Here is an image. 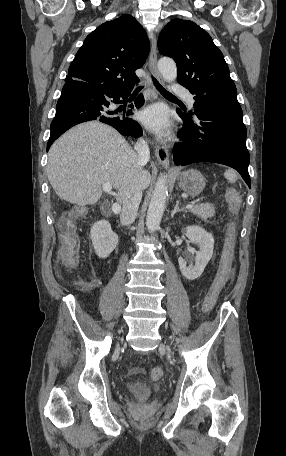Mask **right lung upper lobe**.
<instances>
[{"instance_id": "obj_1", "label": "right lung upper lobe", "mask_w": 286, "mask_h": 456, "mask_svg": "<svg viewBox=\"0 0 286 456\" xmlns=\"http://www.w3.org/2000/svg\"><path fill=\"white\" fill-rule=\"evenodd\" d=\"M149 53L142 26L131 15L100 25L90 33L72 61L65 81L89 84L105 93L129 91L139 81Z\"/></svg>"}]
</instances>
